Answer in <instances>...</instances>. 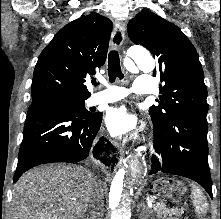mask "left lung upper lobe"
<instances>
[{
    "label": "left lung upper lobe",
    "mask_w": 221,
    "mask_h": 219,
    "mask_svg": "<svg viewBox=\"0 0 221 219\" xmlns=\"http://www.w3.org/2000/svg\"><path fill=\"white\" fill-rule=\"evenodd\" d=\"M130 39L146 47L157 60L153 76L160 75L162 97L150 108L153 124L167 125L186 115L207 123V88L198 54L185 34L151 11H142L129 21Z\"/></svg>",
    "instance_id": "obj_1"
}]
</instances>
